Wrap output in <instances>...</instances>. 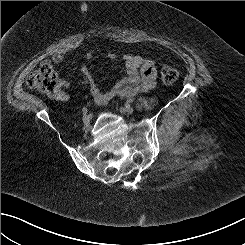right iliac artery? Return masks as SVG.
<instances>
[{
  "label": "right iliac artery",
  "instance_id": "right-iliac-artery-1",
  "mask_svg": "<svg viewBox=\"0 0 245 245\" xmlns=\"http://www.w3.org/2000/svg\"><path fill=\"white\" fill-rule=\"evenodd\" d=\"M82 112H83L84 115L87 114L88 108H87V107H84V108L82 109Z\"/></svg>",
  "mask_w": 245,
  "mask_h": 245
}]
</instances>
